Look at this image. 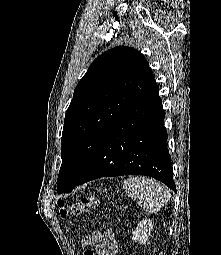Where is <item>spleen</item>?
I'll use <instances>...</instances> for the list:
<instances>
[{"label":"spleen","mask_w":221,"mask_h":255,"mask_svg":"<svg viewBox=\"0 0 221 255\" xmlns=\"http://www.w3.org/2000/svg\"><path fill=\"white\" fill-rule=\"evenodd\" d=\"M123 187L131 198L143 202V209L149 213L158 212L171 196L166 186L146 177L128 178Z\"/></svg>","instance_id":"3e777b00"}]
</instances>
